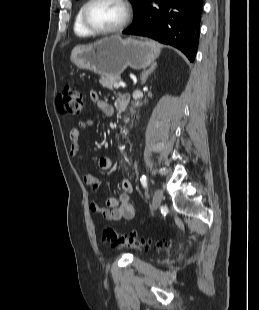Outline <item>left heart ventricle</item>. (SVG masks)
<instances>
[{
  "label": "left heart ventricle",
  "instance_id": "b2bd125f",
  "mask_svg": "<svg viewBox=\"0 0 259 310\" xmlns=\"http://www.w3.org/2000/svg\"><path fill=\"white\" fill-rule=\"evenodd\" d=\"M89 21L97 28H113L124 18V9L117 0H97L88 11Z\"/></svg>",
  "mask_w": 259,
  "mask_h": 310
}]
</instances>
